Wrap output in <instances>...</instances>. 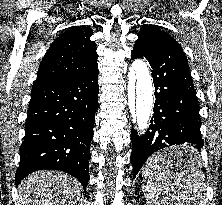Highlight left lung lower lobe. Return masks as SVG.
Masks as SVG:
<instances>
[{"instance_id":"left-lung-lower-lobe-1","label":"left lung lower lobe","mask_w":222,"mask_h":205,"mask_svg":"<svg viewBox=\"0 0 222 205\" xmlns=\"http://www.w3.org/2000/svg\"><path fill=\"white\" fill-rule=\"evenodd\" d=\"M144 58L152 68L155 106L149 131L137 136L132 130L133 177L154 152L175 144L193 146V152L176 154L173 164L187 165L203 147L200 107L187 59L178 42L166 37L138 36L132 59Z\"/></svg>"}]
</instances>
